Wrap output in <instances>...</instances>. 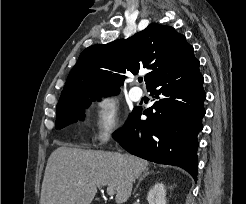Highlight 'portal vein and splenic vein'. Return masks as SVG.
<instances>
[{"mask_svg":"<svg viewBox=\"0 0 246 204\" xmlns=\"http://www.w3.org/2000/svg\"><path fill=\"white\" fill-rule=\"evenodd\" d=\"M106 191H107V193H108L109 195H114V194H115V189H114V187H112V186H107Z\"/></svg>","mask_w":246,"mask_h":204,"instance_id":"obj_1","label":"portal vein and splenic vein"}]
</instances>
